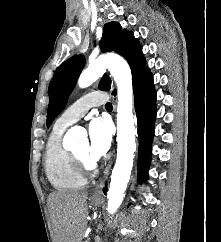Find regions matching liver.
Returning <instances> with one entry per match:
<instances>
[{
    "mask_svg": "<svg viewBox=\"0 0 221 242\" xmlns=\"http://www.w3.org/2000/svg\"><path fill=\"white\" fill-rule=\"evenodd\" d=\"M87 196L81 192H53L49 195V207L54 242H81L87 226Z\"/></svg>",
    "mask_w": 221,
    "mask_h": 242,
    "instance_id": "liver-1",
    "label": "liver"
}]
</instances>
